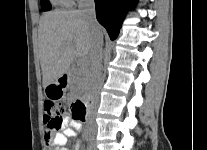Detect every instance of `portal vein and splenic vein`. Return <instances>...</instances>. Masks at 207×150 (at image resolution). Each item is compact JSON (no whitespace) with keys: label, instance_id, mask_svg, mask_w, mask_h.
Masks as SVG:
<instances>
[{"label":"portal vein and splenic vein","instance_id":"obj_1","mask_svg":"<svg viewBox=\"0 0 207 150\" xmlns=\"http://www.w3.org/2000/svg\"><path fill=\"white\" fill-rule=\"evenodd\" d=\"M78 64L79 65H85L86 64V61L85 60H79Z\"/></svg>","mask_w":207,"mask_h":150}]
</instances>
